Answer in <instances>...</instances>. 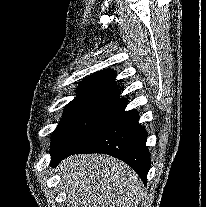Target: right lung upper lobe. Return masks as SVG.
Instances as JSON below:
<instances>
[{
    "instance_id": "cb5924a9",
    "label": "right lung upper lobe",
    "mask_w": 206,
    "mask_h": 207,
    "mask_svg": "<svg viewBox=\"0 0 206 207\" xmlns=\"http://www.w3.org/2000/svg\"><path fill=\"white\" fill-rule=\"evenodd\" d=\"M115 75L111 69L90 75L79 84L74 100L117 98L120 91L116 87Z\"/></svg>"
}]
</instances>
